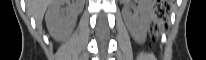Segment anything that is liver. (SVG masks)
<instances>
[{
	"label": "liver",
	"instance_id": "obj_1",
	"mask_svg": "<svg viewBox=\"0 0 206 60\" xmlns=\"http://www.w3.org/2000/svg\"><path fill=\"white\" fill-rule=\"evenodd\" d=\"M72 2H74V0H72ZM75 2L76 4L72 5L67 11L61 10L58 23H55L54 26L47 23L54 38H60L64 34L66 30L65 24L70 20V17L73 14H77L82 9L83 0H76ZM58 4V0H27L26 2L27 11L35 18L37 24H41L49 6Z\"/></svg>",
	"mask_w": 206,
	"mask_h": 60
}]
</instances>
